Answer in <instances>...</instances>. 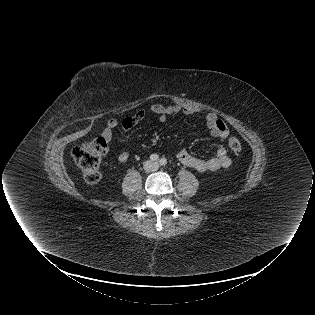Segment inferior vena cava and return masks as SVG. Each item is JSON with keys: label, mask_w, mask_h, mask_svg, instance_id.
Here are the masks:
<instances>
[{"label": "inferior vena cava", "mask_w": 315, "mask_h": 315, "mask_svg": "<svg viewBox=\"0 0 315 315\" xmlns=\"http://www.w3.org/2000/svg\"><path fill=\"white\" fill-rule=\"evenodd\" d=\"M148 164L150 165V167H152V166H153V163H150V162H149Z\"/></svg>", "instance_id": "602c4592"}]
</instances>
